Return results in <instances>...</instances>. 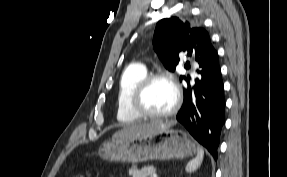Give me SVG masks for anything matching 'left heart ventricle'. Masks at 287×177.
<instances>
[{
  "instance_id": "1",
  "label": "left heart ventricle",
  "mask_w": 287,
  "mask_h": 177,
  "mask_svg": "<svg viewBox=\"0 0 287 177\" xmlns=\"http://www.w3.org/2000/svg\"><path fill=\"white\" fill-rule=\"evenodd\" d=\"M175 95L172 87L165 81H155L146 90L142 104L152 113L168 111L174 104Z\"/></svg>"
}]
</instances>
